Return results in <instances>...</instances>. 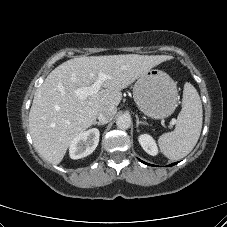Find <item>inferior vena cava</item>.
<instances>
[{
    "mask_svg": "<svg viewBox=\"0 0 227 227\" xmlns=\"http://www.w3.org/2000/svg\"><path fill=\"white\" fill-rule=\"evenodd\" d=\"M117 109L113 106L102 107L97 115V118L102 123L110 122L114 115L116 114Z\"/></svg>",
    "mask_w": 227,
    "mask_h": 227,
    "instance_id": "inferior-vena-cava-1",
    "label": "inferior vena cava"
}]
</instances>
